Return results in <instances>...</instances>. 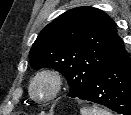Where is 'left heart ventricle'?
I'll return each mask as SVG.
<instances>
[{"instance_id":"1","label":"left heart ventricle","mask_w":131,"mask_h":115,"mask_svg":"<svg viewBox=\"0 0 131 115\" xmlns=\"http://www.w3.org/2000/svg\"><path fill=\"white\" fill-rule=\"evenodd\" d=\"M52 85L49 79L42 78L38 80L34 86L35 93L38 97L45 98L51 92Z\"/></svg>"}]
</instances>
